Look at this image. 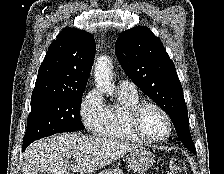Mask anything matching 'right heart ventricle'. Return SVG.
<instances>
[{"instance_id": "1", "label": "right heart ventricle", "mask_w": 224, "mask_h": 174, "mask_svg": "<svg viewBox=\"0 0 224 174\" xmlns=\"http://www.w3.org/2000/svg\"><path fill=\"white\" fill-rule=\"evenodd\" d=\"M141 102L137 92L118 90L117 101L105 106V117L99 136L108 140L139 142L131 130L128 116L131 109Z\"/></svg>"}]
</instances>
